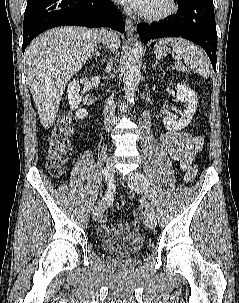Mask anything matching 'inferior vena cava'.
Listing matches in <instances>:
<instances>
[{"mask_svg": "<svg viewBox=\"0 0 239 303\" xmlns=\"http://www.w3.org/2000/svg\"><path fill=\"white\" fill-rule=\"evenodd\" d=\"M111 32H109L105 28H101L98 30V40L103 43V45L107 44L108 38L110 37ZM112 61V59H110ZM112 65V62L108 63L106 71L110 70V66ZM104 124L105 128L109 130L111 125L115 122V113H114V103L111 99H108L105 107H104Z\"/></svg>", "mask_w": 239, "mask_h": 303, "instance_id": "inferior-vena-cava-1", "label": "inferior vena cava"}]
</instances>
